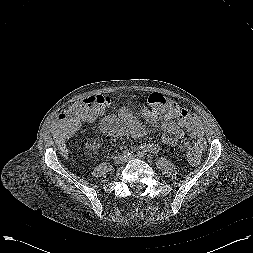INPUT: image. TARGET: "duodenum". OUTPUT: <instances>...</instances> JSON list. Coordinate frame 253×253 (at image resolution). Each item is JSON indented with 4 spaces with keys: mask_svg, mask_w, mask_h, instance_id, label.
<instances>
[{
    "mask_svg": "<svg viewBox=\"0 0 253 253\" xmlns=\"http://www.w3.org/2000/svg\"><path fill=\"white\" fill-rule=\"evenodd\" d=\"M102 128L106 131H109L111 130L112 128H114V124H111V123H103L102 124Z\"/></svg>",
    "mask_w": 253,
    "mask_h": 253,
    "instance_id": "obj_1",
    "label": "duodenum"
}]
</instances>
